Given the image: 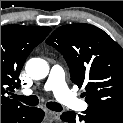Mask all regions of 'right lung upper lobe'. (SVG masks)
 Here are the masks:
<instances>
[{
	"label": "right lung upper lobe",
	"mask_w": 123,
	"mask_h": 123,
	"mask_svg": "<svg viewBox=\"0 0 123 123\" xmlns=\"http://www.w3.org/2000/svg\"><path fill=\"white\" fill-rule=\"evenodd\" d=\"M50 31L49 27L16 24L1 27V115L26 107L10 95L20 86L18 77L27 56Z\"/></svg>",
	"instance_id": "right-lung-upper-lobe-1"
}]
</instances>
